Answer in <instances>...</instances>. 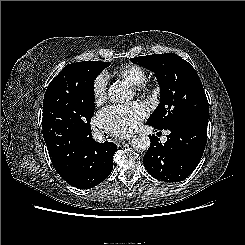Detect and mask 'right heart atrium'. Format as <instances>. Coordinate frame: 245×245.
<instances>
[{"label": "right heart atrium", "mask_w": 245, "mask_h": 245, "mask_svg": "<svg viewBox=\"0 0 245 245\" xmlns=\"http://www.w3.org/2000/svg\"><path fill=\"white\" fill-rule=\"evenodd\" d=\"M108 79L106 74H98L92 83V94L96 104H101L107 98Z\"/></svg>", "instance_id": "obj_1"}]
</instances>
